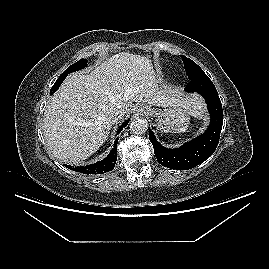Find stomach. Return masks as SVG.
Masks as SVG:
<instances>
[{
  "instance_id": "0dacf381",
  "label": "stomach",
  "mask_w": 269,
  "mask_h": 269,
  "mask_svg": "<svg viewBox=\"0 0 269 269\" xmlns=\"http://www.w3.org/2000/svg\"><path fill=\"white\" fill-rule=\"evenodd\" d=\"M146 109L150 115L157 117V128L162 132L182 133L189 125L190 114L186 109L174 107L160 112L150 109L149 106Z\"/></svg>"
}]
</instances>
